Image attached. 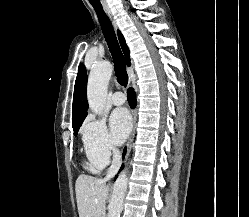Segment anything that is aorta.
Listing matches in <instances>:
<instances>
[{
  "label": "aorta",
  "instance_id": "1",
  "mask_svg": "<svg viewBox=\"0 0 249 217\" xmlns=\"http://www.w3.org/2000/svg\"><path fill=\"white\" fill-rule=\"evenodd\" d=\"M112 74V65L103 62L93 67L88 78L87 99L93 113L100 115L105 107L107 87ZM128 186L126 172H122L113 186L107 217H120Z\"/></svg>",
  "mask_w": 249,
  "mask_h": 217
}]
</instances>
